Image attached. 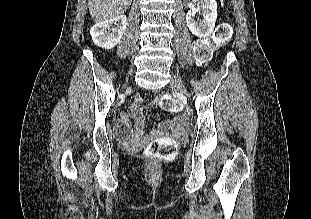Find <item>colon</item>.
Instances as JSON below:
<instances>
[{
    "instance_id": "obj_1",
    "label": "colon",
    "mask_w": 311,
    "mask_h": 219,
    "mask_svg": "<svg viewBox=\"0 0 311 219\" xmlns=\"http://www.w3.org/2000/svg\"><path fill=\"white\" fill-rule=\"evenodd\" d=\"M231 35L232 30L230 24L227 22L219 23L210 37L199 39L195 43L194 54L196 59L200 62L209 61L213 50L225 45L230 40ZM158 105L162 109L171 112L178 108L177 102L165 94H161L158 97ZM121 136L120 140L122 141ZM176 151L177 144L175 141L169 138H155L149 143L146 149V155L153 159L165 160L172 158L176 154Z\"/></svg>"
}]
</instances>
